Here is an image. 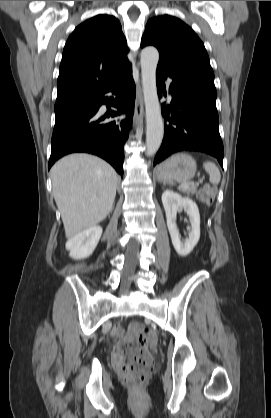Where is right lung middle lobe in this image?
Segmentation results:
<instances>
[{"mask_svg":"<svg viewBox=\"0 0 271 418\" xmlns=\"http://www.w3.org/2000/svg\"><path fill=\"white\" fill-rule=\"evenodd\" d=\"M80 101H83V100L74 101V102H69V103H60V104H55V111H57V110H59V109H61V108L65 107V106H68V105H71V104H74V103H77V102H80Z\"/></svg>","mask_w":271,"mask_h":418,"instance_id":"dd1d6c3e","label":"right lung middle lobe"}]
</instances>
